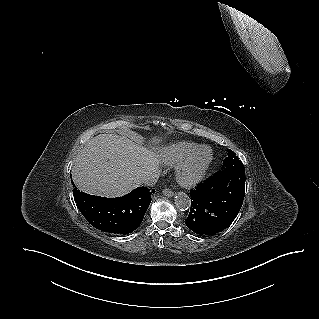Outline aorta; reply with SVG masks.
Segmentation results:
<instances>
[{
  "label": "aorta",
  "mask_w": 319,
  "mask_h": 319,
  "mask_svg": "<svg viewBox=\"0 0 319 319\" xmlns=\"http://www.w3.org/2000/svg\"><path fill=\"white\" fill-rule=\"evenodd\" d=\"M175 205H176L177 209H179L181 211H185V210H188L190 208L191 200L186 193L179 192L175 196Z\"/></svg>",
  "instance_id": "762f6f07"
}]
</instances>
